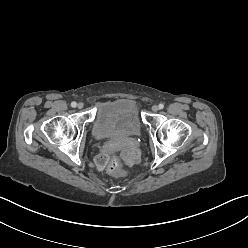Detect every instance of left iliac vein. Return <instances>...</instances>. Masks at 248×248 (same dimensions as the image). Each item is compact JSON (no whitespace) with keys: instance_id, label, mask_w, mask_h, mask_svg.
I'll return each instance as SVG.
<instances>
[{"instance_id":"4c4485c4","label":"left iliac vein","mask_w":248,"mask_h":248,"mask_svg":"<svg viewBox=\"0 0 248 248\" xmlns=\"http://www.w3.org/2000/svg\"><path fill=\"white\" fill-rule=\"evenodd\" d=\"M159 110V107L157 105L152 106V111L157 112Z\"/></svg>"}]
</instances>
